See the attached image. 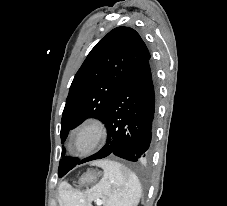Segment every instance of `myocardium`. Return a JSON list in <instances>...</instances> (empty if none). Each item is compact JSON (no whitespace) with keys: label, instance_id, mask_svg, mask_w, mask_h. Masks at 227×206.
<instances>
[{"label":"myocardium","instance_id":"myocardium-1","mask_svg":"<svg viewBox=\"0 0 227 206\" xmlns=\"http://www.w3.org/2000/svg\"><path fill=\"white\" fill-rule=\"evenodd\" d=\"M81 136H87L84 147H78L76 141ZM108 137V127L99 117H89L80 122L70 133L68 144L70 150L77 155H89L100 148Z\"/></svg>","mask_w":227,"mask_h":206}]
</instances>
